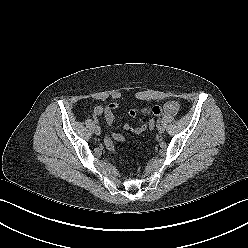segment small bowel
Returning <instances> with one entry per match:
<instances>
[{
	"instance_id": "c3829d8e",
	"label": "small bowel",
	"mask_w": 248,
	"mask_h": 248,
	"mask_svg": "<svg viewBox=\"0 0 248 248\" xmlns=\"http://www.w3.org/2000/svg\"><path fill=\"white\" fill-rule=\"evenodd\" d=\"M117 103H110L106 106H96L94 109L95 116H102L104 115L107 123L109 126H111L114 122V114L113 111L117 108ZM178 110V105L176 102L171 101L163 106L155 105L151 107H145L142 109H131L129 111V114L131 117L135 118L137 115H154V116H160L162 114H174ZM147 119L142 118L140 120V124L137 127H131L130 125L126 124L124 126L125 130L133 131L137 134H140L144 132L147 129Z\"/></svg>"
}]
</instances>
